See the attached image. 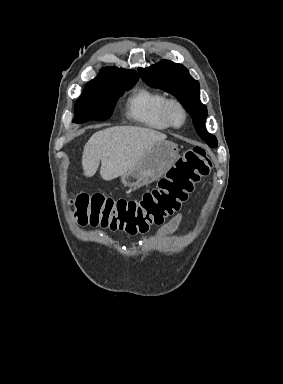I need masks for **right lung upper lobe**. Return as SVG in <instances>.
I'll return each instance as SVG.
<instances>
[{"mask_svg": "<svg viewBox=\"0 0 283 384\" xmlns=\"http://www.w3.org/2000/svg\"><path fill=\"white\" fill-rule=\"evenodd\" d=\"M138 79V75L135 71L116 67H104L100 70V73L96 78L92 79L86 84L85 88L98 87L115 83H136Z\"/></svg>", "mask_w": 283, "mask_h": 384, "instance_id": "obj_1", "label": "right lung upper lobe"}]
</instances>
